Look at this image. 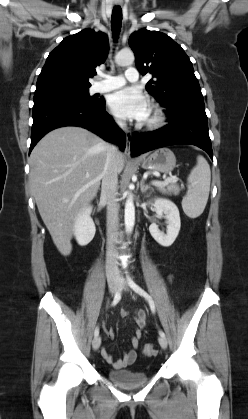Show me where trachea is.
Returning a JSON list of instances; mask_svg holds the SVG:
<instances>
[{
    "label": "trachea",
    "mask_w": 248,
    "mask_h": 419,
    "mask_svg": "<svg viewBox=\"0 0 248 419\" xmlns=\"http://www.w3.org/2000/svg\"><path fill=\"white\" fill-rule=\"evenodd\" d=\"M122 23V9L120 6H115L112 10L111 24L114 36L119 34Z\"/></svg>",
    "instance_id": "1"
}]
</instances>
